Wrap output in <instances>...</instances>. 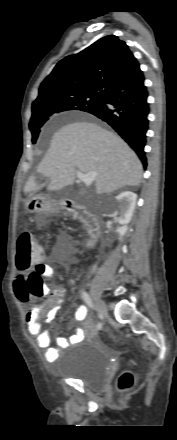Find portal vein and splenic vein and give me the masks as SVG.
Masks as SVG:
<instances>
[{"label": "portal vein and splenic vein", "instance_id": "obj_1", "mask_svg": "<svg viewBox=\"0 0 177 440\" xmlns=\"http://www.w3.org/2000/svg\"><path fill=\"white\" fill-rule=\"evenodd\" d=\"M77 178L82 181L87 187H89L93 181L95 180L97 173L94 171L88 173H82L80 171H76Z\"/></svg>", "mask_w": 177, "mask_h": 440}]
</instances>
